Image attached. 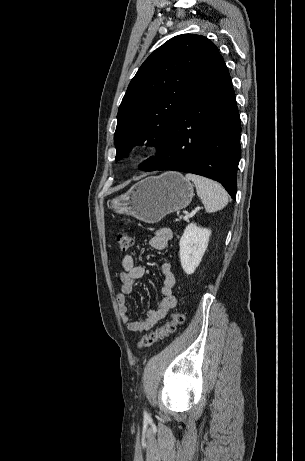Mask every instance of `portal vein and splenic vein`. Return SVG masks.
Instances as JSON below:
<instances>
[{
  "instance_id": "portal-vein-and-splenic-vein-1",
  "label": "portal vein and splenic vein",
  "mask_w": 305,
  "mask_h": 461,
  "mask_svg": "<svg viewBox=\"0 0 305 461\" xmlns=\"http://www.w3.org/2000/svg\"><path fill=\"white\" fill-rule=\"evenodd\" d=\"M197 209H200V207H197L196 210H197ZM191 216H192V215H185V216L183 217V219H184L185 221H188L189 218H190Z\"/></svg>"
}]
</instances>
